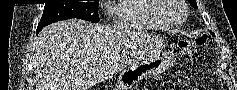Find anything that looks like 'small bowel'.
Listing matches in <instances>:
<instances>
[{
	"mask_svg": "<svg viewBox=\"0 0 237 90\" xmlns=\"http://www.w3.org/2000/svg\"><path fill=\"white\" fill-rule=\"evenodd\" d=\"M188 90H199L197 87H191Z\"/></svg>",
	"mask_w": 237,
	"mask_h": 90,
	"instance_id": "c3829d8e",
	"label": "small bowel"
}]
</instances>
